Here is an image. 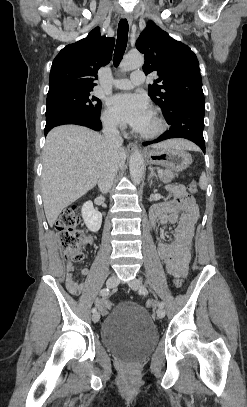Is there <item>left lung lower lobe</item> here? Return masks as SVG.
Listing matches in <instances>:
<instances>
[{
    "instance_id": "0a47b994",
    "label": "left lung lower lobe",
    "mask_w": 247,
    "mask_h": 407,
    "mask_svg": "<svg viewBox=\"0 0 247 407\" xmlns=\"http://www.w3.org/2000/svg\"><path fill=\"white\" fill-rule=\"evenodd\" d=\"M205 108L199 106H186L176 110L170 119V129L154 141L145 142L144 145L157 143L170 138H185L196 143L205 153L203 137Z\"/></svg>"
}]
</instances>
